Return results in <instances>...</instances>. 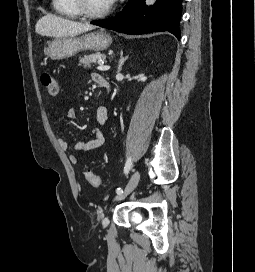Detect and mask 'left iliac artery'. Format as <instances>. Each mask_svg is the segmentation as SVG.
Here are the masks:
<instances>
[{
  "instance_id": "obj_1",
  "label": "left iliac artery",
  "mask_w": 255,
  "mask_h": 272,
  "mask_svg": "<svg viewBox=\"0 0 255 272\" xmlns=\"http://www.w3.org/2000/svg\"><path fill=\"white\" fill-rule=\"evenodd\" d=\"M131 168H132V160H131V157H129L127 159L125 167H124V173L128 174L129 171L131 170ZM116 192L120 193V194H123V190L121 188H117Z\"/></svg>"
}]
</instances>
